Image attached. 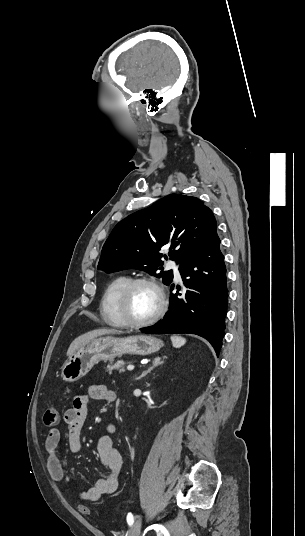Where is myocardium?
Here are the masks:
<instances>
[{"label": "myocardium", "instance_id": "f54148a6", "mask_svg": "<svg viewBox=\"0 0 305 536\" xmlns=\"http://www.w3.org/2000/svg\"><path fill=\"white\" fill-rule=\"evenodd\" d=\"M140 284H148V285H151L153 288H155L159 295L160 304H159L157 311L151 314L150 316L142 320L134 321V320H130L128 317L127 301H128L131 291ZM167 307H168V298L166 296V293L162 285L154 278L148 277V276L135 277V278L129 279L128 282L121 289L118 295V299H117L118 313L123 320V326L129 327V328H141V327L147 326L157 321L164 315Z\"/></svg>", "mask_w": 305, "mask_h": 536}]
</instances>
